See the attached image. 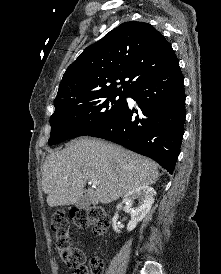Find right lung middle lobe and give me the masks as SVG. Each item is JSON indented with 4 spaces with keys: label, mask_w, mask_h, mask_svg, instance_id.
<instances>
[{
    "label": "right lung middle lobe",
    "mask_w": 221,
    "mask_h": 274,
    "mask_svg": "<svg viewBox=\"0 0 221 274\" xmlns=\"http://www.w3.org/2000/svg\"><path fill=\"white\" fill-rule=\"evenodd\" d=\"M119 96V98H117ZM124 93H106L55 104L49 144L86 136L109 123L126 104Z\"/></svg>",
    "instance_id": "1"
}]
</instances>
